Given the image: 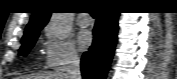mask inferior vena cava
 <instances>
[{
    "mask_svg": "<svg viewBox=\"0 0 177 79\" xmlns=\"http://www.w3.org/2000/svg\"><path fill=\"white\" fill-rule=\"evenodd\" d=\"M66 74L69 79H81L80 59L78 55L72 52L66 67Z\"/></svg>",
    "mask_w": 177,
    "mask_h": 79,
    "instance_id": "obj_1",
    "label": "inferior vena cava"
}]
</instances>
